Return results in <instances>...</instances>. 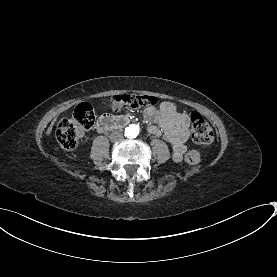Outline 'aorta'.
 <instances>
[{"label": "aorta", "mask_w": 277, "mask_h": 277, "mask_svg": "<svg viewBox=\"0 0 277 277\" xmlns=\"http://www.w3.org/2000/svg\"><path fill=\"white\" fill-rule=\"evenodd\" d=\"M140 131V127L137 124H130L125 128V135L128 138H135L138 136Z\"/></svg>", "instance_id": "1"}]
</instances>
